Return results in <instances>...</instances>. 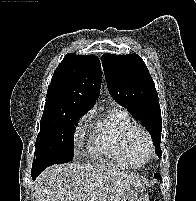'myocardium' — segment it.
<instances>
[{
  "mask_svg": "<svg viewBox=\"0 0 196 201\" xmlns=\"http://www.w3.org/2000/svg\"><path fill=\"white\" fill-rule=\"evenodd\" d=\"M137 135H142L145 137L146 141H147V144H148V149H149V154H148V158L147 160L142 163V164H137L135 161H134V158H133V153H132V145H133V141L135 139V137ZM125 146H126V153H127V158H128V161L130 163L131 166L133 167H142V166H145L147 165L153 158V155H154V143H153V139H152V136L150 134V132L143 126H133L129 131H128V134L126 136V143H125Z\"/></svg>",
  "mask_w": 196,
  "mask_h": 201,
  "instance_id": "obj_1",
  "label": "myocardium"
}]
</instances>
